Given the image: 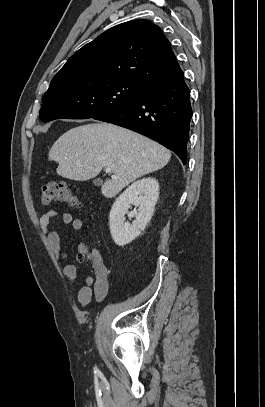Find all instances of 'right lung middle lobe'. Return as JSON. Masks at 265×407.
Listing matches in <instances>:
<instances>
[{
	"label": "right lung middle lobe",
	"instance_id": "1",
	"mask_svg": "<svg viewBox=\"0 0 265 407\" xmlns=\"http://www.w3.org/2000/svg\"><path fill=\"white\" fill-rule=\"evenodd\" d=\"M148 86L131 80L90 76L51 82L39 118H96L135 103Z\"/></svg>",
	"mask_w": 265,
	"mask_h": 407
}]
</instances>
